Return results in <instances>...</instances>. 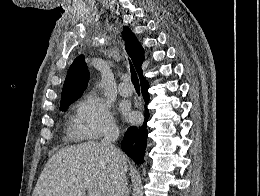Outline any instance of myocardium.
Instances as JSON below:
<instances>
[{"label":"myocardium","instance_id":"f54148a6","mask_svg":"<svg viewBox=\"0 0 260 196\" xmlns=\"http://www.w3.org/2000/svg\"><path fill=\"white\" fill-rule=\"evenodd\" d=\"M51 192H55V190H51Z\"/></svg>","mask_w":260,"mask_h":196}]
</instances>
